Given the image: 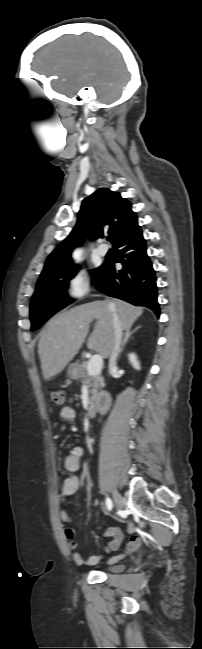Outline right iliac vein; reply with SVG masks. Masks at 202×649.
Returning a JSON list of instances; mask_svg holds the SVG:
<instances>
[{
	"instance_id": "right-iliac-vein-1",
	"label": "right iliac vein",
	"mask_w": 202,
	"mask_h": 649,
	"mask_svg": "<svg viewBox=\"0 0 202 649\" xmlns=\"http://www.w3.org/2000/svg\"><path fill=\"white\" fill-rule=\"evenodd\" d=\"M113 498L117 509L119 510L122 509L124 506V500L118 491L116 490L113 491Z\"/></svg>"
}]
</instances>
